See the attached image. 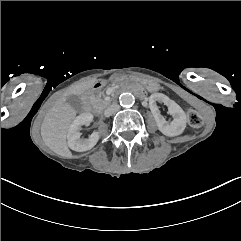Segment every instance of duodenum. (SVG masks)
Wrapping results in <instances>:
<instances>
[{
    "instance_id": "1",
    "label": "duodenum",
    "mask_w": 241,
    "mask_h": 241,
    "mask_svg": "<svg viewBox=\"0 0 241 241\" xmlns=\"http://www.w3.org/2000/svg\"><path fill=\"white\" fill-rule=\"evenodd\" d=\"M103 86V82L101 81H96L92 84L90 90L88 91V93L86 94L85 96V107L86 109H89L90 108V105H89V101H88V97L96 92L97 90H99L101 87ZM126 92H130V93H133L135 95H137L138 97H144V91L143 89H141L140 87H137V86H127V87H122L120 89H118L115 94L116 95H120L122 93H126ZM96 112H98L99 110L96 109L95 110Z\"/></svg>"
}]
</instances>
